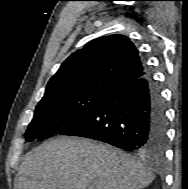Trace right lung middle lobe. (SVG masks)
<instances>
[{
    "label": "right lung middle lobe",
    "instance_id": "obj_1",
    "mask_svg": "<svg viewBox=\"0 0 188 189\" xmlns=\"http://www.w3.org/2000/svg\"><path fill=\"white\" fill-rule=\"evenodd\" d=\"M111 91L95 88L44 96L25 133L26 141L60 134L80 121Z\"/></svg>",
    "mask_w": 188,
    "mask_h": 189
}]
</instances>
